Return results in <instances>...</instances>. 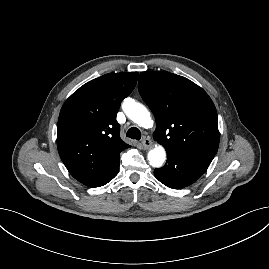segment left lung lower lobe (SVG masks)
<instances>
[{
	"label": "left lung lower lobe",
	"instance_id": "1",
	"mask_svg": "<svg viewBox=\"0 0 269 269\" xmlns=\"http://www.w3.org/2000/svg\"><path fill=\"white\" fill-rule=\"evenodd\" d=\"M167 163L154 170L155 177L167 187L181 189L199 179L215 155L186 149L166 150Z\"/></svg>",
	"mask_w": 269,
	"mask_h": 269
}]
</instances>
